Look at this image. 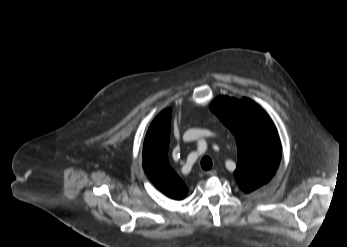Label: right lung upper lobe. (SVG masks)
Listing matches in <instances>:
<instances>
[{
  "instance_id": "1",
  "label": "right lung upper lobe",
  "mask_w": 347,
  "mask_h": 247,
  "mask_svg": "<svg viewBox=\"0 0 347 247\" xmlns=\"http://www.w3.org/2000/svg\"><path fill=\"white\" fill-rule=\"evenodd\" d=\"M170 119L171 110L165 109L151 123L144 141L143 164L159 190L172 199L181 200L188 190L168 162Z\"/></svg>"
}]
</instances>
